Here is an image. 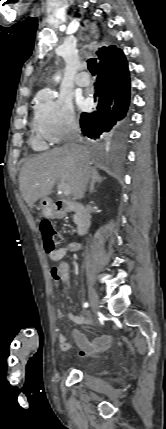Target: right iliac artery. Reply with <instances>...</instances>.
I'll return each instance as SVG.
<instances>
[{
	"mask_svg": "<svg viewBox=\"0 0 166 429\" xmlns=\"http://www.w3.org/2000/svg\"><path fill=\"white\" fill-rule=\"evenodd\" d=\"M83 306H84V307H88V306H89V304L86 302V303H84V304H83Z\"/></svg>",
	"mask_w": 166,
	"mask_h": 429,
	"instance_id": "right-iliac-artery-1",
	"label": "right iliac artery"
}]
</instances>
